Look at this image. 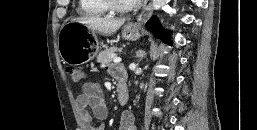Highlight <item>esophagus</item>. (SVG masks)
I'll return each mask as SVG.
<instances>
[{"instance_id":"esophagus-1","label":"esophagus","mask_w":257,"mask_h":130,"mask_svg":"<svg viewBox=\"0 0 257 130\" xmlns=\"http://www.w3.org/2000/svg\"><path fill=\"white\" fill-rule=\"evenodd\" d=\"M152 14V3L150 2L145 9L137 16V23L145 22Z\"/></svg>"}]
</instances>
